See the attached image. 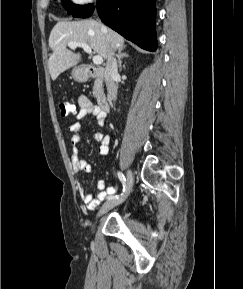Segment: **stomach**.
<instances>
[{"instance_id":"obj_1","label":"stomach","mask_w":243,"mask_h":289,"mask_svg":"<svg viewBox=\"0 0 243 289\" xmlns=\"http://www.w3.org/2000/svg\"><path fill=\"white\" fill-rule=\"evenodd\" d=\"M72 76L73 78L78 81V82H84L87 80L88 76H87V72L85 71L84 68L82 67H75L72 70Z\"/></svg>"}]
</instances>
